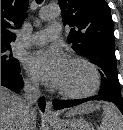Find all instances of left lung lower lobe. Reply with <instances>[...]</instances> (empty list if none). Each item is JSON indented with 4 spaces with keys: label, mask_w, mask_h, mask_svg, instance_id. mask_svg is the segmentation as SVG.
<instances>
[{
    "label": "left lung lower lobe",
    "mask_w": 123,
    "mask_h": 130,
    "mask_svg": "<svg viewBox=\"0 0 123 130\" xmlns=\"http://www.w3.org/2000/svg\"><path fill=\"white\" fill-rule=\"evenodd\" d=\"M90 100H103V101L111 102V103L115 104L123 114V106L122 105H119L118 103H116V102H114V101H112V100H110L108 98L102 97L100 95H97V96H95L93 98L80 100V101H59V100H54L53 105H54V107L56 109H63V108H67V107L76 106V105H79L81 103H84V102H87V101H90Z\"/></svg>",
    "instance_id": "1"
}]
</instances>
